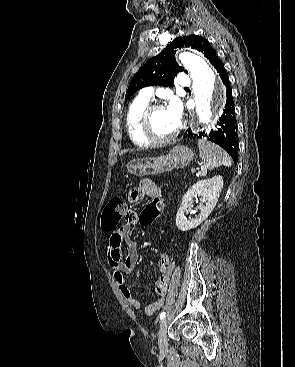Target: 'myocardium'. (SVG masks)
I'll return each instance as SVG.
<instances>
[{"instance_id":"f54148a6","label":"myocardium","mask_w":295,"mask_h":367,"mask_svg":"<svg viewBox=\"0 0 295 367\" xmlns=\"http://www.w3.org/2000/svg\"><path fill=\"white\" fill-rule=\"evenodd\" d=\"M162 108H164V106L161 103L149 104L144 109L141 115V118H140V123H139L140 132L142 136L147 141H149L151 144H155V145H162V144H167V143L172 142L173 140L177 138V136L179 135L181 131V125H179L176 131L167 137H160L154 133L153 128H152V117H153V114L157 110L162 109Z\"/></svg>"}]
</instances>
